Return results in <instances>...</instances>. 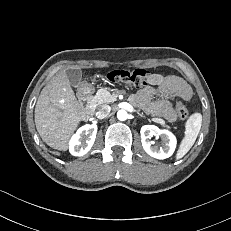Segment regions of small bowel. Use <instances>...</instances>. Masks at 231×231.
Here are the masks:
<instances>
[{
    "label": "small bowel",
    "instance_id": "small-bowel-1",
    "mask_svg": "<svg viewBox=\"0 0 231 231\" xmlns=\"http://www.w3.org/2000/svg\"><path fill=\"white\" fill-rule=\"evenodd\" d=\"M155 96L161 98L154 100ZM191 96V87L182 78L173 75L153 74L149 80V85L141 89L132 100L140 103L150 114L174 121L176 113L170 99L178 97L187 101Z\"/></svg>",
    "mask_w": 231,
    "mask_h": 231
}]
</instances>
